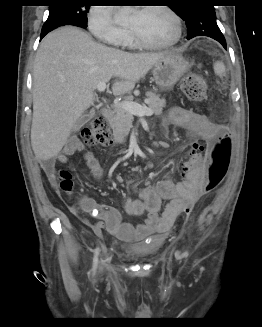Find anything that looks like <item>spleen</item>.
Wrapping results in <instances>:
<instances>
[{
    "label": "spleen",
    "instance_id": "1",
    "mask_svg": "<svg viewBox=\"0 0 262 327\" xmlns=\"http://www.w3.org/2000/svg\"><path fill=\"white\" fill-rule=\"evenodd\" d=\"M214 72L216 75L222 77L225 75V65L221 61H217L214 64Z\"/></svg>",
    "mask_w": 262,
    "mask_h": 327
}]
</instances>
